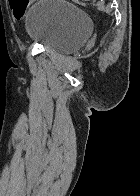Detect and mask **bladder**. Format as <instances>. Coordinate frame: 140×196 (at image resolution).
I'll return each mask as SVG.
<instances>
[{"label": "bladder", "instance_id": "obj_1", "mask_svg": "<svg viewBox=\"0 0 140 196\" xmlns=\"http://www.w3.org/2000/svg\"><path fill=\"white\" fill-rule=\"evenodd\" d=\"M28 39L57 53H73L81 49L91 34L88 14L66 0L34 3L26 14Z\"/></svg>", "mask_w": 140, "mask_h": 196}]
</instances>
